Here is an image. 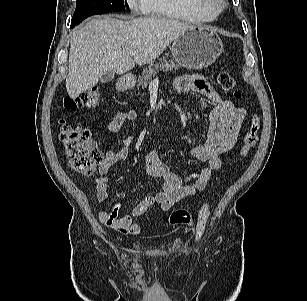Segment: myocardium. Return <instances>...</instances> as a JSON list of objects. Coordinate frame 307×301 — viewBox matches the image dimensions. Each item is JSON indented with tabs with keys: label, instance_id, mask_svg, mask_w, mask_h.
Listing matches in <instances>:
<instances>
[{
	"label": "myocardium",
	"instance_id": "f54148a6",
	"mask_svg": "<svg viewBox=\"0 0 307 301\" xmlns=\"http://www.w3.org/2000/svg\"><path fill=\"white\" fill-rule=\"evenodd\" d=\"M192 1L197 6L211 10L216 14L222 12L227 6L226 0H192Z\"/></svg>",
	"mask_w": 307,
	"mask_h": 301
}]
</instances>
